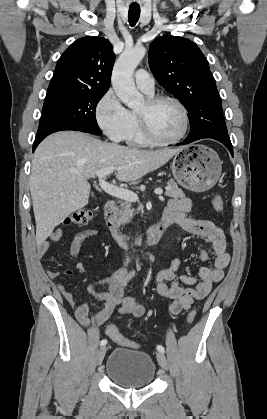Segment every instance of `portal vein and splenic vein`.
<instances>
[{"instance_id": "portal-vein-and-splenic-vein-1", "label": "portal vein and splenic vein", "mask_w": 267, "mask_h": 419, "mask_svg": "<svg viewBox=\"0 0 267 419\" xmlns=\"http://www.w3.org/2000/svg\"><path fill=\"white\" fill-rule=\"evenodd\" d=\"M114 170L115 168L108 167V168L101 169L96 173L97 177L99 178V186L101 187V189L113 197L123 199L128 202L138 201V196L134 192L124 189V188H119L105 181V177L112 174ZM154 192L155 194L161 196L163 193V190L161 188H157L155 189Z\"/></svg>"}]
</instances>
